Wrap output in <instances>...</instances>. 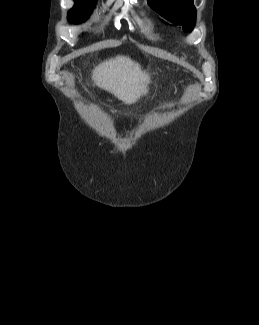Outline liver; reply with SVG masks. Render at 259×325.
I'll return each instance as SVG.
<instances>
[{
  "instance_id": "liver-1",
  "label": "liver",
  "mask_w": 259,
  "mask_h": 325,
  "mask_svg": "<svg viewBox=\"0 0 259 325\" xmlns=\"http://www.w3.org/2000/svg\"><path fill=\"white\" fill-rule=\"evenodd\" d=\"M95 84L126 104L135 103L147 94L150 77L141 66L126 56H116L93 70Z\"/></svg>"
}]
</instances>
